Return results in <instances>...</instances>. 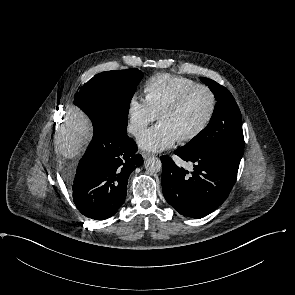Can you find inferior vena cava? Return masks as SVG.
Here are the masks:
<instances>
[{"label": "inferior vena cava", "mask_w": 295, "mask_h": 295, "mask_svg": "<svg viewBox=\"0 0 295 295\" xmlns=\"http://www.w3.org/2000/svg\"><path fill=\"white\" fill-rule=\"evenodd\" d=\"M140 128L137 125H131L129 126V132L132 134H137L139 132Z\"/></svg>", "instance_id": "inferior-vena-cava-1"}]
</instances>
